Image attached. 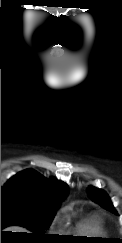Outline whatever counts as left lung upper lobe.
<instances>
[{
  "label": "left lung upper lobe",
  "mask_w": 122,
  "mask_h": 243,
  "mask_svg": "<svg viewBox=\"0 0 122 243\" xmlns=\"http://www.w3.org/2000/svg\"><path fill=\"white\" fill-rule=\"evenodd\" d=\"M87 194L94 202L98 203L103 208L117 214L106 192L90 186L87 189Z\"/></svg>",
  "instance_id": "left-lung-upper-lobe-1"
}]
</instances>
